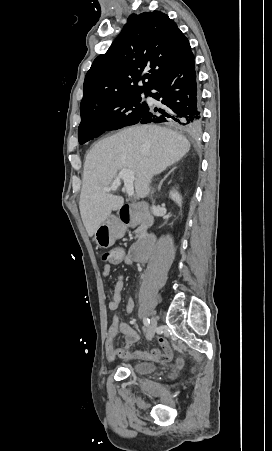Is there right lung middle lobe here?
Wrapping results in <instances>:
<instances>
[{
  "instance_id": "1",
  "label": "right lung middle lobe",
  "mask_w": 272,
  "mask_h": 451,
  "mask_svg": "<svg viewBox=\"0 0 272 451\" xmlns=\"http://www.w3.org/2000/svg\"><path fill=\"white\" fill-rule=\"evenodd\" d=\"M141 101V94L131 95L104 102L80 113V144L98 137L106 130L136 124L149 111L147 104Z\"/></svg>"
}]
</instances>
